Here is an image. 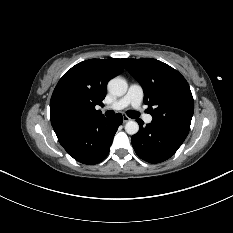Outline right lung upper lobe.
Segmentation results:
<instances>
[{"label":"right lung upper lobe","mask_w":233,"mask_h":233,"mask_svg":"<svg viewBox=\"0 0 233 233\" xmlns=\"http://www.w3.org/2000/svg\"><path fill=\"white\" fill-rule=\"evenodd\" d=\"M124 66L120 59H90L68 70L56 85L51 101L50 116L53 128L101 115L95 109L103 105L107 83L120 74Z\"/></svg>","instance_id":"right-lung-upper-lobe-1"}]
</instances>
